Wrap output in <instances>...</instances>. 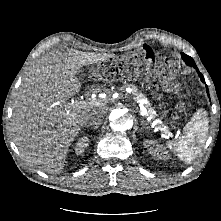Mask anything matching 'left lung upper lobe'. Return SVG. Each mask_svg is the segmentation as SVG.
<instances>
[{
  "label": "left lung upper lobe",
  "instance_id": "left-lung-upper-lobe-1",
  "mask_svg": "<svg viewBox=\"0 0 221 221\" xmlns=\"http://www.w3.org/2000/svg\"><path fill=\"white\" fill-rule=\"evenodd\" d=\"M182 57H183V60L185 61V63L187 65L195 66V62H194V60L190 56H188V55L183 53Z\"/></svg>",
  "mask_w": 221,
  "mask_h": 221
}]
</instances>
